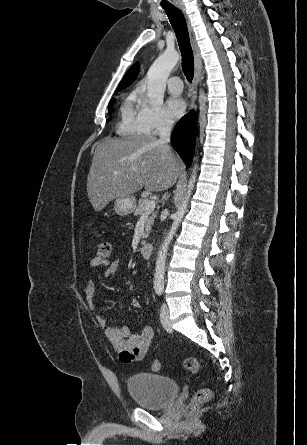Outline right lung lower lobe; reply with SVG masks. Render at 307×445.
I'll list each match as a JSON object with an SVG mask.
<instances>
[{
    "instance_id": "1",
    "label": "right lung lower lobe",
    "mask_w": 307,
    "mask_h": 445,
    "mask_svg": "<svg viewBox=\"0 0 307 445\" xmlns=\"http://www.w3.org/2000/svg\"><path fill=\"white\" fill-rule=\"evenodd\" d=\"M196 119L193 112L184 116L175 126L171 135V143L186 166L192 162L195 146Z\"/></svg>"
}]
</instances>
